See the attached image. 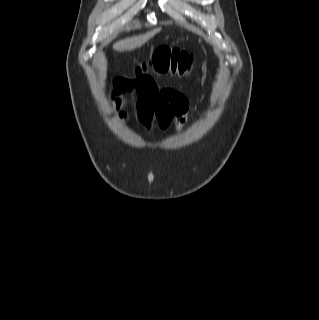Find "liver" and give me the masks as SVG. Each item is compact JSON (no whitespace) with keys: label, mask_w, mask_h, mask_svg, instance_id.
<instances>
[{"label":"liver","mask_w":319,"mask_h":320,"mask_svg":"<svg viewBox=\"0 0 319 320\" xmlns=\"http://www.w3.org/2000/svg\"><path fill=\"white\" fill-rule=\"evenodd\" d=\"M160 28H156L152 31H149L145 34H141L138 36L128 37L122 40L117 41L113 44V49L119 52L131 51L136 48H140L147 41L153 38L158 32Z\"/></svg>","instance_id":"liver-1"}]
</instances>
